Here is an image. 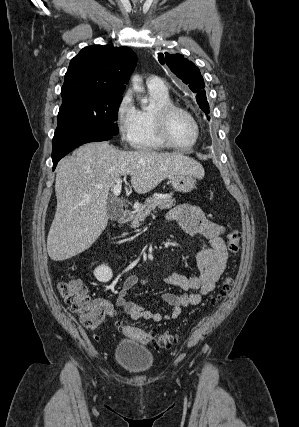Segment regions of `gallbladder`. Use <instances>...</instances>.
I'll use <instances>...</instances> for the list:
<instances>
[{
    "label": "gallbladder",
    "mask_w": 299,
    "mask_h": 427,
    "mask_svg": "<svg viewBox=\"0 0 299 427\" xmlns=\"http://www.w3.org/2000/svg\"><path fill=\"white\" fill-rule=\"evenodd\" d=\"M123 208L119 200L113 199L108 201L107 215L111 220H118L122 216Z\"/></svg>",
    "instance_id": "bac80fb5"
}]
</instances>
